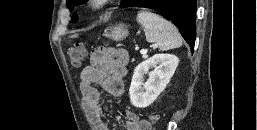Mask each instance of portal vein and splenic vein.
Masks as SVG:
<instances>
[{
    "instance_id": "obj_1",
    "label": "portal vein and splenic vein",
    "mask_w": 257,
    "mask_h": 130,
    "mask_svg": "<svg viewBox=\"0 0 257 130\" xmlns=\"http://www.w3.org/2000/svg\"><path fill=\"white\" fill-rule=\"evenodd\" d=\"M140 53L143 54V55H145V54L147 53V50H144V49H143V50L140 51Z\"/></svg>"
}]
</instances>
